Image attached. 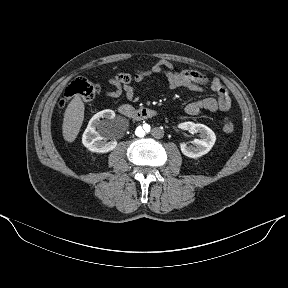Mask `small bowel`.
Instances as JSON below:
<instances>
[{"label":"small bowel","instance_id":"1","mask_svg":"<svg viewBox=\"0 0 288 288\" xmlns=\"http://www.w3.org/2000/svg\"><path fill=\"white\" fill-rule=\"evenodd\" d=\"M140 76H150L153 73L162 74L170 89L186 88L197 92H209L212 96L187 104L183 112L189 116H197L202 111L227 112L231 108V99L221 82L214 78L210 80L205 74L188 69L176 70L175 66L167 60H160L151 69L137 70ZM113 90L105 92V97L112 102L128 100L136 102L139 99L134 88L128 84L112 81Z\"/></svg>","mask_w":288,"mask_h":288}]
</instances>
